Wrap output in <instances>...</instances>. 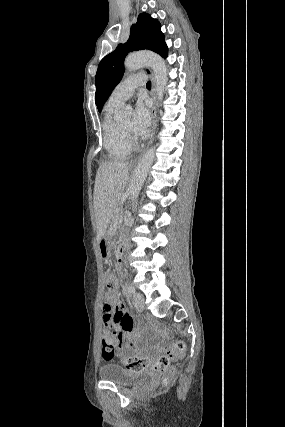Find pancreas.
Segmentation results:
<instances>
[{"label":"pancreas","mask_w":285,"mask_h":427,"mask_svg":"<svg viewBox=\"0 0 285 427\" xmlns=\"http://www.w3.org/2000/svg\"><path fill=\"white\" fill-rule=\"evenodd\" d=\"M117 218H118L117 214L114 215V217H113V224H112V227H111L112 231L116 230V228H117Z\"/></svg>","instance_id":"cf45deb5"}]
</instances>
